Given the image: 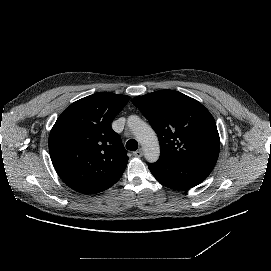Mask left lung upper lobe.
Instances as JSON below:
<instances>
[{
	"label": "left lung upper lobe",
	"instance_id": "left-lung-upper-lobe-1",
	"mask_svg": "<svg viewBox=\"0 0 271 271\" xmlns=\"http://www.w3.org/2000/svg\"><path fill=\"white\" fill-rule=\"evenodd\" d=\"M132 103L158 135L160 156L215 166L220 138L213 116L200 102L160 90L137 96Z\"/></svg>",
	"mask_w": 271,
	"mask_h": 271
}]
</instances>
